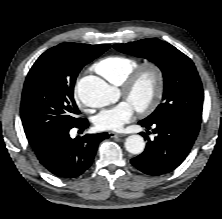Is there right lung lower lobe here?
<instances>
[{
	"label": "right lung lower lobe",
	"mask_w": 222,
	"mask_h": 219,
	"mask_svg": "<svg viewBox=\"0 0 222 219\" xmlns=\"http://www.w3.org/2000/svg\"><path fill=\"white\" fill-rule=\"evenodd\" d=\"M87 128L88 121L80 119L74 125L51 135L34 149L40 163L53 175L60 178H75L92 164L98 144L109 138L108 133L86 134L72 139L71 128Z\"/></svg>",
	"instance_id": "right-lung-lower-lobe-1"
}]
</instances>
